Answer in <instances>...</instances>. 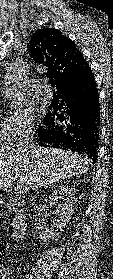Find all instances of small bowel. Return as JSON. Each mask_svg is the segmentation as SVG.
I'll return each instance as SVG.
<instances>
[{"label":"small bowel","mask_w":113,"mask_h":279,"mask_svg":"<svg viewBox=\"0 0 113 279\" xmlns=\"http://www.w3.org/2000/svg\"><path fill=\"white\" fill-rule=\"evenodd\" d=\"M0 274V279H8V270L6 268H1Z\"/></svg>","instance_id":"obj_1"}]
</instances>
